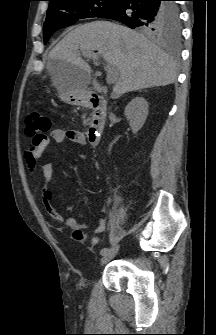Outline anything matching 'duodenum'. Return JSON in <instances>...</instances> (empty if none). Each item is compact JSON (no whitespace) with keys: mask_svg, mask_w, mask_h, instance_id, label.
<instances>
[{"mask_svg":"<svg viewBox=\"0 0 216 335\" xmlns=\"http://www.w3.org/2000/svg\"><path fill=\"white\" fill-rule=\"evenodd\" d=\"M86 105L92 110L87 137L91 144L96 145L99 143L105 127L106 101L101 95L93 93L87 98Z\"/></svg>","mask_w":216,"mask_h":335,"instance_id":"410a0bca","label":"duodenum"}]
</instances>
